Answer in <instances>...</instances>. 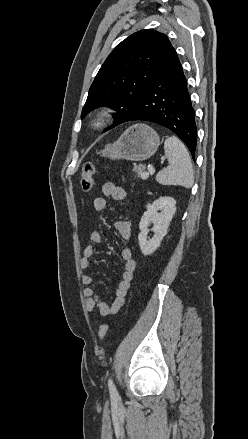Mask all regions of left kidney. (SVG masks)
Instances as JSON below:
<instances>
[{"instance_id":"1","label":"left kidney","mask_w":248,"mask_h":439,"mask_svg":"<svg viewBox=\"0 0 248 439\" xmlns=\"http://www.w3.org/2000/svg\"><path fill=\"white\" fill-rule=\"evenodd\" d=\"M146 208L139 223L140 233L138 234L140 250L145 256L155 252L167 234L169 224L176 212V200L167 196L160 197L152 204H148ZM151 223L154 236L148 240V227Z\"/></svg>"}]
</instances>
